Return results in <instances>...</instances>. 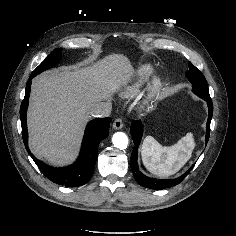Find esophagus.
Masks as SVG:
<instances>
[{"label": "esophagus", "instance_id": "obj_1", "mask_svg": "<svg viewBox=\"0 0 236 236\" xmlns=\"http://www.w3.org/2000/svg\"><path fill=\"white\" fill-rule=\"evenodd\" d=\"M123 127V122L120 118H117L113 123V128L115 130H120Z\"/></svg>", "mask_w": 236, "mask_h": 236}]
</instances>
